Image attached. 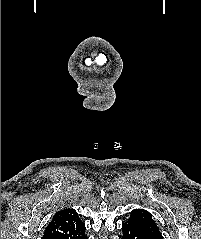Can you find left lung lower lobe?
Listing matches in <instances>:
<instances>
[{
    "instance_id": "obj_1",
    "label": "left lung lower lobe",
    "mask_w": 201,
    "mask_h": 239,
    "mask_svg": "<svg viewBox=\"0 0 201 239\" xmlns=\"http://www.w3.org/2000/svg\"><path fill=\"white\" fill-rule=\"evenodd\" d=\"M123 235L121 239H154L141 225L133 222L122 224Z\"/></svg>"
}]
</instances>
